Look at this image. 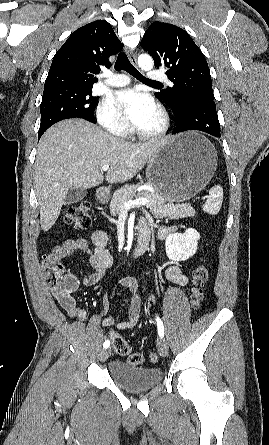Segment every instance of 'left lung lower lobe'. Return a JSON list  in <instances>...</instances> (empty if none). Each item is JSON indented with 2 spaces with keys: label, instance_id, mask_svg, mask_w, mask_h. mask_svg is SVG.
Masks as SVG:
<instances>
[{
  "label": "left lung lower lobe",
  "instance_id": "obj_1",
  "mask_svg": "<svg viewBox=\"0 0 269 445\" xmlns=\"http://www.w3.org/2000/svg\"><path fill=\"white\" fill-rule=\"evenodd\" d=\"M176 119L173 134L199 130L220 137V124L214 99L205 96H193L182 102L181 115Z\"/></svg>",
  "mask_w": 269,
  "mask_h": 445
}]
</instances>
